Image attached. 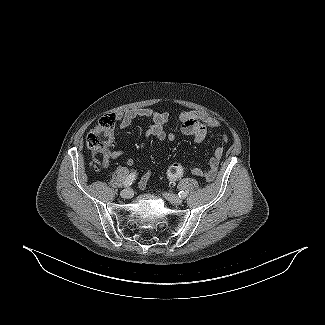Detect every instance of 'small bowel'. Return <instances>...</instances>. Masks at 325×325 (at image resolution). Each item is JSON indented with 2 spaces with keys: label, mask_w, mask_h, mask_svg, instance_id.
I'll return each mask as SVG.
<instances>
[{
  "label": "small bowel",
  "mask_w": 325,
  "mask_h": 325,
  "mask_svg": "<svg viewBox=\"0 0 325 325\" xmlns=\"http://www.w3.org/2000/svg\"><path fill=\"white\" fill-rule=\"evenodd\" d=\"M115 118L118 120V125L120 129H125L129 127L133 121L137 118H147L152 121V124L145 133V137L154 136L160 141H173L175 135L170 133L168 134L165 131V125L169 120V114L166 112H157L151 108L138 107L126 110L123 113H118L115 115ZM179 121L181 123V132L185 135H190L193 137L194 141L200 143L205 140L208 134L209 128H216L219 126V123L196 111H183L179 115ZM228 137L223 135L222 141L226 142ZM223 146L217 145L213 156L209 160L208 167L206 169L190 167L189 171L207 181H211L215 178L219 162L223 156ZM123 154L121 150H109L105 149L102 152L103 157V167L107 168L112 160L117 159ZM134 163L133 159L128 160V164L132 165ZM150 178V171H147L143 174L139 182V188L143 189L147 185Z\"/></svg>",
  "instance_id": "c3829d8e"
}]
</instances>
